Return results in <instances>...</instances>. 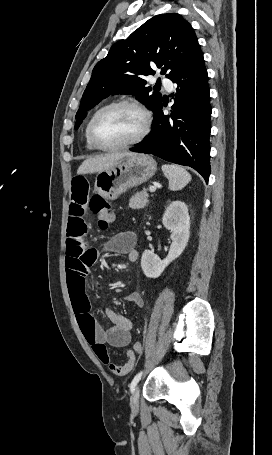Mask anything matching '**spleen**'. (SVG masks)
I'll list each match as a JSON object with an SVG mask.
<instances>
[{"instance_id":"1","label":"spleen","mask_w":272,"mask_h":455,"mask_svg":"<svg viewBox=\"0 0 272 455\" xmlns=\"http://www.w3.org/2000/svg\"><path fill=\"white\" fill-rule=\"evenodd\" d=\"M162 170L169 180V189L172 191L181 190L191 181V175L183 167L165 164Z\"/></svg>"}]
</instances>
